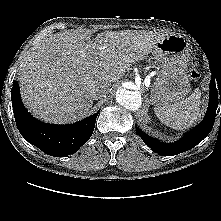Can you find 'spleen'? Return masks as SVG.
Returning a JSON list of instances; mask_svg holds the SVG:
<instances>
[{
    "instance_id": "spleen-1",
    "label": "spleen",
    "mask_w": 221,
    "mask_h": 221,
    "mask_svg": "<svg viewBox=\"0 0 221 221\" xmlns=\"http://www.w3.org/2000/svg\"><path fill=\"white\" fill-rule=\"evenodd\" d=\"M201 93L195 90L185 100L163 107H155L159 120L166 126L176 130H185L192 126L200 117Z\"/></svg>"
}]
</instances>
